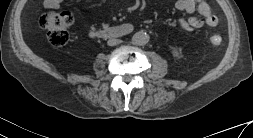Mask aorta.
<instances>
[{"label":"aorta","instance_id":"aorta-1","mask_svg":"<svg viewBox=\"0 0 253 138\" xmlns=\"http://www.w3.org/2000/svg\"><path fill=\"white\" fill-rule=\"evenodd\" d=\"M133 41L137 45H140V46L145 45L149 41V35L145 32H137L133 36Z\"/></svg>","mask_w":253,"mask_h":138}]
</instances>
